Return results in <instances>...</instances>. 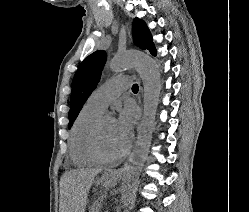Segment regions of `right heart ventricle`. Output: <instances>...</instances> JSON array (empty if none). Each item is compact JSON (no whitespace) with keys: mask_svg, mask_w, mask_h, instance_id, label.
Listing matches in <instances>:
<instances>
[{"mask_svg":"<svg viewBox=\"0 0 249 212\" xmlns=\"http://www.w3.org/2000/svg\"><path fill=\"white\" fill-rule=\"evenodd\" d=\"M102 112L87 101L76 115L68 142L69 158L76 167L87 168L98 164L90 152L88 139L94 122Z\"/></svg>","mask_w":249,"mask_h":212,"instance_id":"1","label":"right heart ventricle"}]
</instances>
